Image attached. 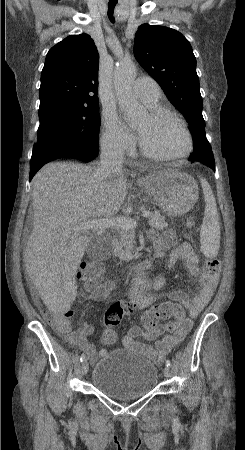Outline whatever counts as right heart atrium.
Listing matches in <instances>:
<instances>
[{"mask_svg": "<svg viewBox=\"0 0 245 450\" xmlns=\"http://www.w3.org/2000/svg\"><path fill=\"white\" fill-rule=\"evenodd\" d=\"M101 146L104 151L115 156H122L134 150L133 136L115 114L103 115Z\"/></svg>", "mask_w": 245, "mask_h": 450, "instance_id": "right-heart-atrium-1", "label": "right heart atrium"}]
</instances>
